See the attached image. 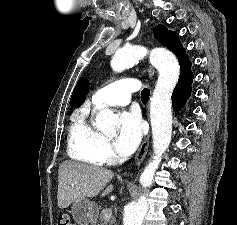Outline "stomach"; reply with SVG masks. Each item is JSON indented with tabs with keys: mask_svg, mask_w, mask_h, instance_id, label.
<instances>
[{
	"mask_svg": "<svg viewBox=\"0 0 237 225\" xmlns=\"http://www.w3.org/2000/svg\"><path fill=\"white\" fill-rule=\"evenodd\" d=\"M71 212L78 225H89L98 216V206L95 202L82 198L73 202Z\"/></svg>",
	"mask_w": 237,
	"mask_h": 225,
	"instance_id": "1",
	"label": "stomach"
}]
</instances>
